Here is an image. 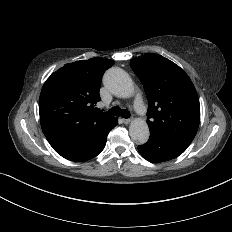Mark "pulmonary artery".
<instances>
[{
	"mask_svg": "<svg viewBox=\"0 0 232 232\" xmlns=\"http://www.w3.org/2000/svg\"><path fill=\"white\" fill-rule=\"evenodd\" d=\"M143 101L144 95L142 93H137L135 95L134 108L139 116L146 117L148 115V110L144 108Z\"/></svg>",
	"mask_w": 232,
	"mask_h": 232,
	"instance_id": "obj_1",
	"label": "pulmonary artery"
}]
</instances>
